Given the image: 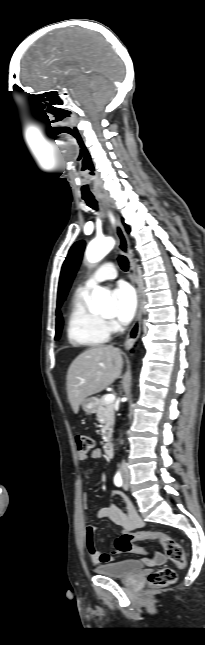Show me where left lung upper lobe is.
<instances>
[{
	"label": "left lung upper lobe",
	"instance_id": "1",
	"mask_svg": "<svg viewBox=\"0 0 205 645\" xmlns=\"http://www.w3.org/2000/svg\"><path fill=\"white\" fill-rule=\"evenodd\" d=\"M126 229L127 231H129L127 226H126ZM84 248H85L84 241L76 242L70 248L69 253L66 257V260L63 263L60 280H59V287H58V301H57L58 307L62 304V302L66 298L68 290L74 279L75 273L81 262Z\"/></svg>",
	"mask_w": 205,
	"mask_h": 645
}]
</instances>
